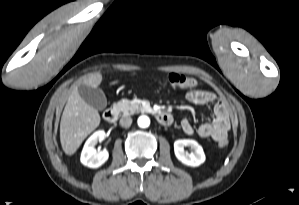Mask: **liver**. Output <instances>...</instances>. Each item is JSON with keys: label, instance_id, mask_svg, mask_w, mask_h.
Here are the masks:
<instances>
[{"label": "liver", "instance_id": "6515ba94", "mask_svg": "<svg viewBox=\"0 0 299 205\" xmlns=\"http://www.w3.org/2000/svg\"><path fill=\"white\" fill-rule=\"evenodd\" d=\"M102 82V74L90 73L84 76L81 84L97 88ZM119 81H112L110 85ZM100 124L97 109L87 104L78 92V86L72 90L64 108L60 122V142L63 151L72 155L79 148L84 139Z\"/></svg>", "mask_w": 299, "mask_h": 205}]
</instances>
